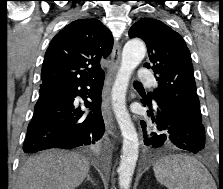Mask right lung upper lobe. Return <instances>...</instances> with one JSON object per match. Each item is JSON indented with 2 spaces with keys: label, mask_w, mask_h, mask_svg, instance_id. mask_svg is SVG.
Listing matches in <instances>:
<instances>
[{
  "label": "right lung upper lobe",
  "mask_w": 223,
  "mask_h": 189,
  "mask_svg": "<svg viewBox=\"0 0 223 189\" xmlns=\"http://www.w3.org/2000/svg\"><path fill=\"white\" fill-rule=\"evenodd\" d=\"M111 32L95 18L78 19L51 41L41 70V88L73 86L101 77L100 59L112 51Z\"/></svg>",
  "instance_id": "cb5924a9"
}]
</instances>
